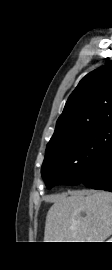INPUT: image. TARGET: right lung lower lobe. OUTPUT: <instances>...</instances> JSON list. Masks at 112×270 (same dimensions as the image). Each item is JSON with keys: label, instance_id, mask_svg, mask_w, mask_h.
I'll list each match as a JSON object with an SVG mask.
<instances>
[{"label": "right lung lower lobe", "instance_id": "right-lung-lower-lobe-1", "mask_svg": "<svg viewBox=\"0 0 112 270\" xmlns=\"http://www.w3.org/2000/svg\"><path fill=\"white\" fill-rule=\"evenodd\" d=\"M81 183L93 189L112 192V145L95 160Z\"/></svg>", "mask_w": 112, "mask_h": 270}]
</instances>
